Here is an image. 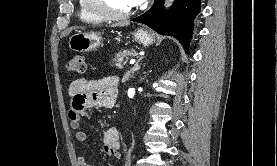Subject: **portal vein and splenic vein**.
<instances>
[{"label": "portal vein and splenic vein", "instance_id": "1", "mask_svg": "<svg viewBox=\"0 0 277 166\" xmlns=\"http://www.w3.org/2000/svg\"><path fill=\"white\" fill-rule=\"evenodd\" d=\"M135 61H136L135 59H131L129 63H130V64H134Z\"/></svg>", "mask_w": 277, "mask_h": 166}]
</instances>
